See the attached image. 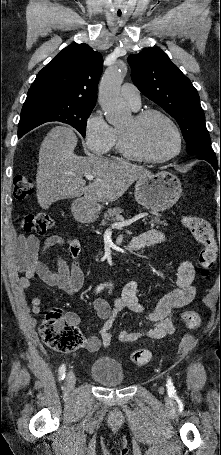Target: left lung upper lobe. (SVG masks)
Instances as JSON below:
<instances>
[{"label":"left lung upper lobe","mask_w":221,"mask_h":455,"mask_svg":"<svg viewBox=\"0 0 221 455\" xmlns=\"http://www.w3.org/2000/svg\"><path fill=\"white\" fill-rule=\"evenodd\" d=\"M134 85L179 124L189 155H215L197 90L159 48L128 57Z\"/></svg>","instance_id":"obj_1"}]
</instances>
